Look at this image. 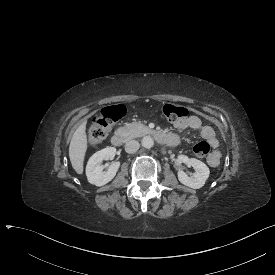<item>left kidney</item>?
Returning <instances> with one entry per match:
<instances>
[{"label": "left kidney", "instance_id": "5707ae66", "mask_svg": "<svg viewBox=\"0 0 275 275\" xmlns=\"http://www.w3.org/2000/svg\"><path fill=\"white\" fill-rule=\"evenodd\" d=\"M178 160L187 164L188 166H192L195 169V173L192 176H188L184 171H178V179L179 181L193 189H199L204 186L207 178L209 177L210 171L206 164L202 161L197 160L195 158H188L185 155H179Z\"/></svg>", "mask_w": 275, "mask_h": 275}]
</instances>
